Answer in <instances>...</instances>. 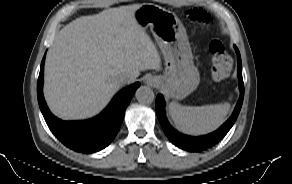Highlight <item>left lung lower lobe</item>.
I'll use <instances>...</instances> for the list:
<instances>
[{
	"label": "left lung lower lobe",
	"instance_id": "obj_1",
	"mask_svg": "<svg viewBox=\"0 0 292 184\" xmlns=\"http://www.w3.org/2000/svg\"><path fill=\"white\" fill-rule=\"evenodd\" d=\"M236 50L238 54V76H239V81H240L241 95L231 118L214 133H211L206 136H201V137H190V136L178 133L176 130H174L170 126V124L166 120L165 113H164L165 103H164L163 96L162 95L157 96L156 112H157L158 119L160 121V124L165 134L170 139V141L174 143L176 146L188 151H199V150L206 149L208 147L215 145L217 142H219L227 134V132L235 123L238 117V114L240 112L242 102H243V96H244V84H243V79L241 77L242 76L241 58H240V54L237 48Z\"/></svg>",
	"mask_w": 292,
	"mask_h": 184
}]
</instances>
